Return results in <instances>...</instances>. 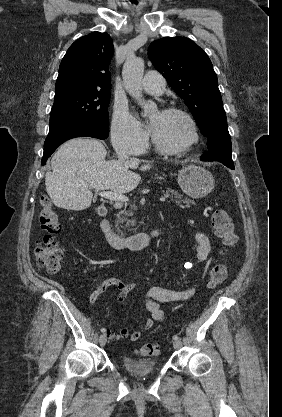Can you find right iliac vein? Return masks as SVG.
<instances>
[{"mask_svg":"<svg viewBox=\"0 0 282 417\" xmlns=\"http://www.w3.org/2000/svg\"><path fill=\"white\" fill-rule=\"evenodd\" d=\"M106 341H107V337H106V335H105V334H102V335L99 337V343H100V345L104 346V345L106 344Z\"/></svg>","mask_w":282,"mask_h":417,"instance_id":"1","label":"right iliac vein"}]
</instances>
